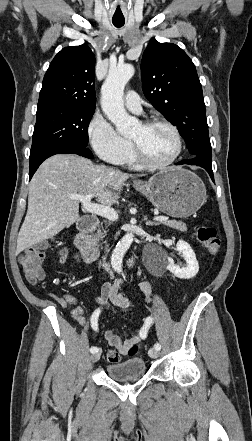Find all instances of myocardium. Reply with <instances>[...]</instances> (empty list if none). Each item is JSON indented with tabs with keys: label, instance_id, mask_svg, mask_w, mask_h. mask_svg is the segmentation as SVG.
Returning a JSON list of instances; mask_svg holds the SVG:
<instances>
[{
	"label": "myocardium",
	"instance_id": "obj_1",
	"mask_svg": "<svg viewBox=\"0 0 252 441\" xmlns=\"http://www.w3.org/2000/svg\"><path fill=\"white\" fill-rule=\"evenodd\" d=\"M142 125L144 127H153V126H165L168 129L171 130V132L173 133L175 140H176V150L175 153L173 154V156L165 161V162H161V163H153L150 160L147 159V157L144 155V153L142 152L141 148L134 142H132V147L134 149V155L136 157V159L138 160V162L145 168L147 169H151V170H158V169H164L167 168L169 166H171L172 164H174L177 159L180 157L182 151H183V140L180 134V131L178 130V128L171 122L165 120V119H160V118H153V119H149L146 120L144 122H142Z\"/></svg>",
	"mask_w": 252,
	"mask_h": 441
}]
</instances>
